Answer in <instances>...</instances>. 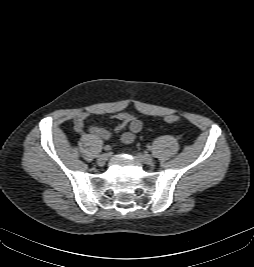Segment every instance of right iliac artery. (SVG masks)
Here are the masks:
<instances>
[{
	"label": "right iliac artery",
	"mask_w": 254,
	"mask_h": 267,
	"mask_svg": "<svg viewBox=\"0 0 254 267\" xmlns=\"http://www.w3.org/2000/svg\"><path fill=\"white\" fill-rule=\"evenodd\" d=\"M104 150H105V151H109V150H111V147H110L109 145H106V146L104 147Z\"/></svg>",
	"instance_id": "obj_1"
}]
</instances>
